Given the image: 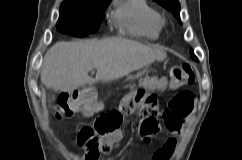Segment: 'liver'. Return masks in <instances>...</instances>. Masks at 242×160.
Here are the masks:
<instances>
[{"mask_svg": "<svg viewBox=\"0 0 242 160\" xmlns=\"http://www.w3.org/2000/svg\"><path fill=\"white\" fill-rule=\"evenodd\" d=\"M166 57L159 49L121 37L57 42L44 57L41 82L49 89L71 92L83 85L127 76ZM93 68L97 69L95 78L88 75Z\"/></svg>", "mask_w": 242, "mask_h": 160, "instance_id": "6515ba94", "label": "liver"}]
</instances>
